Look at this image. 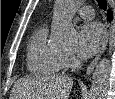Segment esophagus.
<instances>
[{"instance_id": "obj_1", "label": "esophagus", "mask_w": 115, "mask_h": 99, "mask_svg": "<svg viewBox=\"0 0 115 99\" xmlns=\"http://www.w3.org/2000/svg\"><path fill=\"white\" fill-rule=\"evenodd\" d=\"M108 3L111 7L113 6V0H108ZM109 35H110V24L108 23V25L106 27V33H105V38H104L103 44H102L101 48L99 49L95 58L92 60V62L88 66V68L86 70V78H88L92 74V72H93L95 66L97 65L101 55L103 54L104 50L106 49Z\"/></svg>"}]
</instances>
